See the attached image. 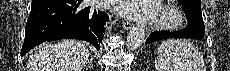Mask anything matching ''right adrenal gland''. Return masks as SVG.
I'll return each instance as SVG.
<instances>
[{
	"mask_svg": "<svg viewBox=\"0 0 230 71\" xmlns=\"http://www.w3.org/2000/svg\"><path fill=\"white\" fill-rule=\"evenodd\" d=\"M92 61H93V58L89 59L88 62H87L88 64L91 65V68H93V62Z\"/></svg>",
	"mask_w": 230,
	"mask_h": 71,
	"instance_id": "1",
	"label": "right adrenal gland"
}]
</instances>
